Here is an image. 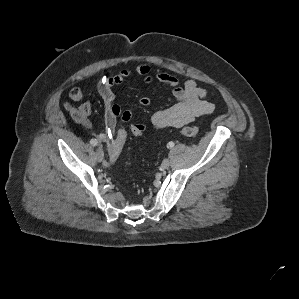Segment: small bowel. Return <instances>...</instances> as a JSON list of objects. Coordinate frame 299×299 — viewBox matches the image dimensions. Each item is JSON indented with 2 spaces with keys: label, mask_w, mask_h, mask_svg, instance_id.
Wrapping results in <instances>:
<instances>
[{
  "label": "small bowel",
  "mask_w": 299,
  "mask_h": 299,
  "mask_svg": "<svg viewBox=\"0 0 299 299\" xmlns=\"http://www.w3.org/2000/svg\"><path fill=\"white\" fill-rule=\"evenodd\" d=\"M133 74L141 76L146 85L161 83L172 89L175 102L151 115V123L157 129L180 128L200 116L211 114L215 109L214 104L208 99L206 89L198 86L193 79L186 80L183 85H180L177 78L168 72L152 73L148 64H141L134 69H123L116 75L103 77L98 83V92L104 105L105 120V132L97 136L101 143L110 141L119 119L129 122L132 118L131 111L123 110L114 102V88ZM69 97L75 102L81 101L83 99L82 89L73 87L69 91ZM139 103L142 106H148L150 99L147 96H142ZM81 106L85 107L89 113L91 112V106L88 102L82 103ZM135 123L146 129L144 123Z\"/></svg>",
  "instance_id": "obj_1"
}]
</instances>
